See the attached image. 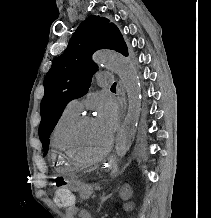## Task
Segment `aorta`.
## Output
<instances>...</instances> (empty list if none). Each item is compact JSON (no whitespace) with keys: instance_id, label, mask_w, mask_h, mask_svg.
<instances>
[{"instance_id":"obj_1","label":"aorta","mask_w":211,"mask_h":218,"mask_svg":"<svg viewBox=\"0 0 211 218\" xmlns=\"http://www.w3.org/2000/svg\"><path fill=\"white\" fill-rule=\"evenodd\" d=\"M93 60L113 70L120 77L128 98V111L121 129L117 134L115 152L122 158L129 150L134 136L141 111V88L136 70L130 61L123 55L113 51H98Z\"/></svg>"}]
</instances>
